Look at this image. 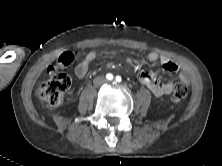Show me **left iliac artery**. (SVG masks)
<instances>
[{"label":"left iliac artery","mask_w":222,"mask_h":166,"mask_svg":"<svg viewBox=\"0 0 222 166\" xmlns=\"http://www.w3.org/2000/svg\"><path fill=\"white\" fill-rule=\"evenodd\" d=\"M116 82H121V77L120 76L116 77Z\"/></svg>","instance_id":"left-iliac-artery-1"}]
</instances>
